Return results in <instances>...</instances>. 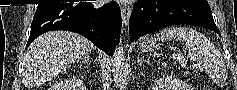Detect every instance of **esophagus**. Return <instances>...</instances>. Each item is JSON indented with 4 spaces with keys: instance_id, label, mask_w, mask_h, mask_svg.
<instances>
[{
    "instance_id": "obj_1",
    "label": "esophagus",
    "mask_w": 237,
    "mask_h": 90,
    "mask_svg": "<svg viewBox=\"0 0 237 90\" xmlns=\"http://www.w3.org/2000/svg\"><path fill=\"white\" fill-rule=\"evenodd\" d=\"M132 6L129 3H124L121 6V12H122V25L126 27L128 25V21L130 18Z\"/></svg>"
}]
</instances>
